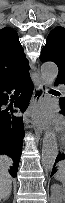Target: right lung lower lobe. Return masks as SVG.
<instances>
[{
  "label": "right lung lower lobe",
  "instance_id": "1",
  "mask_svg": "<svg viewBox=\"0 0 65 203\" xmlns=\"http://www.w3.org/2000/svg\"><path fill=\"white\" fill-rule=\"evenodd\" d=\"M11 91H14L15 94L20 93L14 104L17 109L3 108ZM32 93L33 83L30 75L0 86V154L8 155L13 159L14 166L10 169V174L13 177L17 174L24 137L23 118L17 116L16 113L19 109L21 112L27 109Z\"/></svg>",
  "mask_w": 65,
  "mask_h": 203
}]
</instances>
